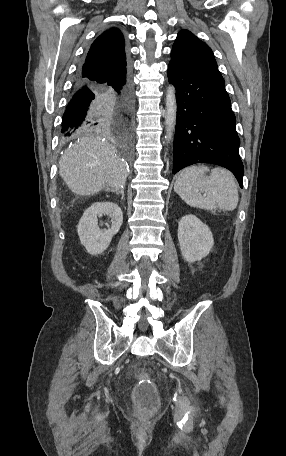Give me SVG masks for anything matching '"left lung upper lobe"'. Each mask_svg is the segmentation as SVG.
Returning a JSON list of instances; mask_svg holds the SVG:
<instances>
[{"label": "left lung upper lobe", "mask_w": 286, "mask_h": 456, "mask_svg": "<svg viewBox=\"0 0 286 456\" xmlns=\"http://www.w3.org/2000/svg\"><path fill=\"white\" fill-rule=\"evenodd\" d=\"M170 63L207 75L225 85L211 48L188 30L178 33Z\"/></svg>", "instance_id": "1"}]
</instances>
